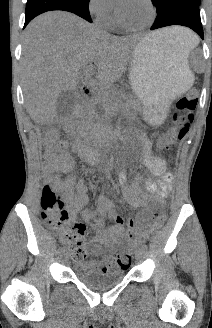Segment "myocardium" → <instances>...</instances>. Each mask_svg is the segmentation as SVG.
Returning <instances> with one entry per match:
<instances>
[{
  "mask_svg": "<svg viewBox=\"0 0 212 328\" xmlns=\"http://www.w3.org/2000/svg\"><path fill=\"white\" fill-rule=\"evenodd\" d=\"M144 2L148 5L150 12H151L150 19L147 23H145L143 25H131L124 20V18L121 15L120 10H118L117 14H116L117 22L125 29L131 30V31H141V30L148 28L155 20L156 15H157V10H156V6H155L153 0H144Z\"/></svg>",
  "mask_w": 212,
  "mask_h": 328,
  "instance_id": "1",
  "label": "myocardium"
}]
</instances>
